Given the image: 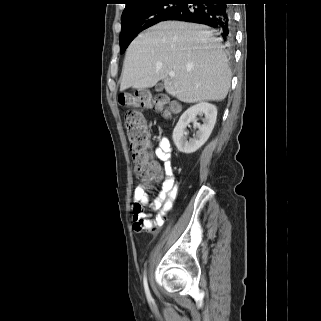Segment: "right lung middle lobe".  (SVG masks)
<instances>
[{"instance_id":"obj_1","label":"right lung middle lobe","mask_w":321,"mask_h":321,"mask_svg":"<svg viewBox=\"0 0 321 321\" xmlns=\"http://www.w3.org/2000/svg\"><path fill=\"white\" fill-rule=\"evenodd\" d=\"M183 0H154L147 2L133 13L121 18L122 30L119 36L120 53H124L132 40L143 30L161 22L177 9Z\"/></svg>"}]
</instances>
